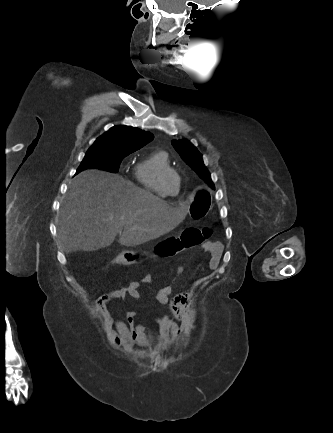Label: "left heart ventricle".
Returning a JSON list of instances; mask_svg holds the SVG:
<instances>
[{"label": "left heart ventricle", "instance_id": "1", "mask_svg": "<svg viewBox=\"0 0 333 433\" xmlns=\"http://www.w3.org/2000/svg\"><path fill=\"white\" fill-rule=\"evenodd\" d=\"M166 189L169 193L174 194L177 190V178L175 175L170 174L165 180Z\"/></svg>", "mask_w": 333, "mask_h": 433}]
</instances>
